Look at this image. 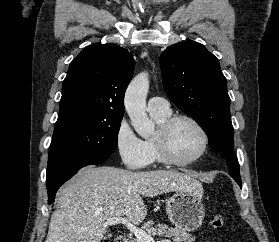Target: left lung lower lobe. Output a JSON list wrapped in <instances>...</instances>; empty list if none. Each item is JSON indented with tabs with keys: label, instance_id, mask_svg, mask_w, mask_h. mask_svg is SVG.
<instances>
[{
	"label": "left lung lower lobe",
	"instance_id": "0a47b994",
	"mask_svg": "<svg viewBox=\"0 0 279 242\" xmlns=\"http://www.w3.org/2000/svg\"><path fill=\"white\" fill-rule=\"evenodd\" d=\"M239 186H240V187H242V184H241V183H239Z\"/></svg>",
	"mask_w": 279,
	"mask_h": 242
}]
</instances>
